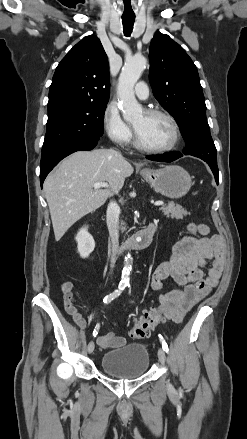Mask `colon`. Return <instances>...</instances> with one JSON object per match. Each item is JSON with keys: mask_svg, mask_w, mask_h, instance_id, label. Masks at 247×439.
Instances as JSON below:
<instances>
[{"mask_svg": "<svg viewBox=\"0 0 247 439\" xmlns=\"http://www.w3.org/2000/svg\"><path fill=\"white\" fill-rule=\"evenodd\" d=\"M188 230L193 233L200 232V224L190 223ZM164 319V314L159 306L152 307L144 312L137 320L131 330V336L134 338H143L153 330Z\"/></svg>", "mask_w": 247, "mask_h": 439, "instance_id": "obj_1", "label": "colon"}]
</instances>
